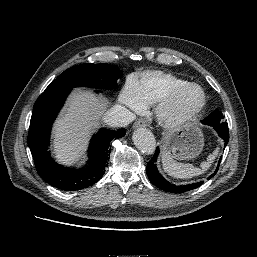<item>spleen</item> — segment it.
<instances>
[{
    "mask_svg": "<svg viewBox=\"0 0 257 257\" xmlns=\"http://www.w3.org/2000/svg\"><path fill=\"white\" fill-rule=\"evenodd\" d=\"M218 155V149H216L212 154L207 157V161L200 164L199 167H194L192 164H184L176 162L171 156L169 151H164L162 153V166L164 171L174 177L180 179H188L194 176L201 175L206 170H208Z\"/></svg>",
    "mask_w": 257,
    "mask_h": 257,
    "instance_id": "spleen-1",
    "label": "spleen"
}]
</instances>
